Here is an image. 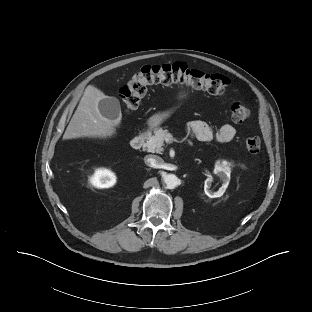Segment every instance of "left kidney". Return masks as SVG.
Listing matches in <instances>:
<instances>
[{"mask_svg":"<svg viewBox=\"0 0 312 312\" xmlns=\"http://www.w3.org/2000/svg\"><path fill=\"white\" fill-rule=\"evenodd\" d=\"M214 173L218 175L220 180L222 181V187L218 191L214 192L210 189L211 180L206 179L204 184V191L205 194L210 198L221 197L224 194L225 189L227 188L230 181V167L228 166L226 161H218L215 165Z\"/></svg>","mask_w":312,"mask_h":312,"instance_id":"5707ae66","label":"left kidney"}]
</instances>
